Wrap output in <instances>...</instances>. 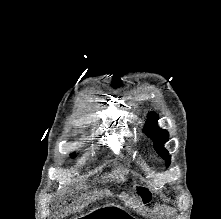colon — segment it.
Segmentation results:
<instances>
[{
	"instance_id": "obj_1",
	"label": "colon",
	"mask_w": 221,
	"mask_h": 219,
	"mask_svg": "<svg viewBox=\"0 0 221 219\" xmlns=\"http://www.w3.org/2000/svg\"><path fill=\"white\" fill-rule=\"evenodd\" d=\"M140 194H141L143 197H147V198L150 197V196L147 194V192L142 191V190H141Z\"/></svg>"
}]
</instances>
